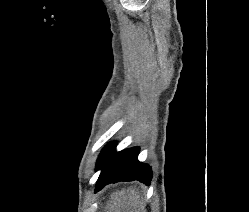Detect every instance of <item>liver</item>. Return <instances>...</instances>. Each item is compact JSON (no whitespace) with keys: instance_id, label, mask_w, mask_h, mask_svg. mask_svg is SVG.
<instances>
[{"instance_id":"6515ba94","label":"liver","mask_w":249,"mask_h":212,"mask_svg":"<svg viewBox=\"0 0 249 212\" xmlns=\"http://www.w3.org/2000/svg\"><path fill=\"white\" fill-rule=\"evenodd\" d=\"M106 212H146L137 188H122L111 194Z\"/></svg>"}]
</instances>
